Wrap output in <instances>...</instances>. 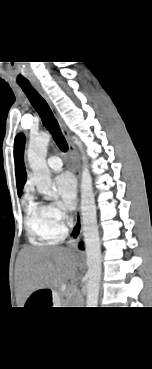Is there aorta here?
I'll return each mask as SVG.
<instances>
[{
    "label": "aorta",
    "instance_id": "aorta-1",
    "mask_svg": "<svg viewBox=\"0 0 152 369\" xmlns=\"http://www.w3.org/2000/svg\"><path fill=\"white\" fill-rule=\"evenodd\" d=\"M50 138L51 134L47 132L31 136L28 147V161L38 192L54 197L56 192L53 189L50 170L46 164ZM74 140L83 153L80 141L75 137ZM82 159L86 161L84 155ZM81 215L88 266L87 307H97L101 275V248L92 178L87 164L83 165L81 174Z\"/></svg>",
    "mask_w": 152,
    "mask_h": 369
}]
</instances>
